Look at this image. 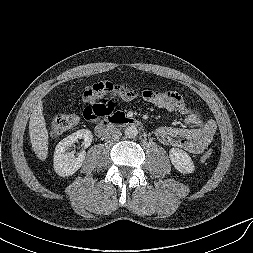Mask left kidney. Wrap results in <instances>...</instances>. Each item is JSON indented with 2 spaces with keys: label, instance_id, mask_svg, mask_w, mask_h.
I'll use <instances>...</instances> for the list:
<instances>
[{
  "label": "left kidney",
  "instance_id": "left-kidney-1",
  "mask_svg": "<svg viewBox=\"0 0 253 253\" xmlns=\"http://www.w3.org/2000/svg\"><path fill=\"white\" fill-rule=\"evenodd\" d=\"M169 157L171 160V163L175 167L176 170L179 172L186 174V173H192L195 170L194 163L191 159V157L179 148H172L169 151Z\"/></svg>",
  "mask_w": 253,
  "mask_h": 253
}]
</instances>
